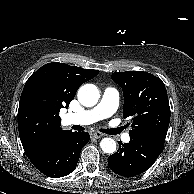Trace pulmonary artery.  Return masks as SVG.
<instances>
[{
	"mask_svg": "<svg viewBox=\"0 0 194 194\" xmlns=\"http://www.w3.org/2000/svg\"><path fill=\"white\" fill-rule=\"evenodd\" d=\"M119 94L114 88H106L103 92L101 101L92 109L84 110L79 113H68L65 116L67 124L88 125L104 118L112 116L118 107ZM124 142L130 141L128 133L122 137Z\"/></svg>",
	"mask_w": 194,
	"mask_h": 194,
	"instance_id": "pulmonary-artery-1",
	"label": "pulmonary artery"
}]
</instances>
